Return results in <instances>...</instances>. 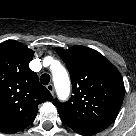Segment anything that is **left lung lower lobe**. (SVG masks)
I'll return each instance as SVG.
<instances>
[{"mask_svg": "<svg viewBox=\"0 0 136 136\" xmlns=\"http://www.w3.org/2000/svg\"><path fill=\"white\" fill-rule=\"evenodd\" d=\"M105 126H84V127H73L72 129L84 136L94 135L102 130H104Z\"/></svg>", "mask_w": 136, "mask_h": 136, "instance_id": "0a47b994", "label": "left lung lower lobe"}]
</instances>
